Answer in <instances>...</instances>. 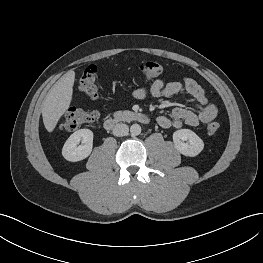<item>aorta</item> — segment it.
<instances>
[{
    "label": "aorta",
    "instance_id": "1",
    "mask_svg": "<svg viewBox=\"0 0 263 263\" xmlns=\"http://www.w3.org/2000/svg\"><path fill=\"white\" fill-rule=\"evenodd\" d=\"M130 133L133 136H138L141 133V126L139 124H133L130 127Z\"/></svg>",
    "mask_w": 263,
    "mask_h": 263
}]
</instances>
